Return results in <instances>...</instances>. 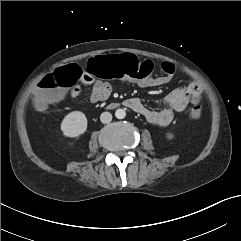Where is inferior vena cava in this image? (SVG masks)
Returning a JSON list of instances; mask_svg holds the SVG:
<instances>
[{
	"instance_id": "1",
	"label": "inferior vena cava",
	"mask_w": 241,
	"mask_h": 241,
	"mask_svg": "<svg viewBox=\"0 0 241 241\" xmlns=\"http://www.w3.org/2000/svg\"><path fill=\"white\" fill-rule=\"evenodd\" d=\"M111 120H112V114L109 112H103L100 116V121L104 124L111 122Z\"/></svg>"
}]
</instances>
